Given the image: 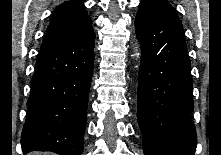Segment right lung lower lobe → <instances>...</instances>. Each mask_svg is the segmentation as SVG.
I'll list each match as a JSON object with an SVG mask.
<instances>
[{
	"instance_id": "obj_1",
	"label": "right lung lower lobe",
	"mask_w": 221,
	"mask_h": 155,
	"mask_svg": "<svg viewBox=\"0 0 221 155\" xmlns=\"http://www.w3.org/2000/svg\"><path fill=\"white\" fill-rule=\"evenodd\" d=\"M95 33L91 26L47 33L36 61L23 152L81 155L93 73Z\"/></svg>"
}]
</instances>
